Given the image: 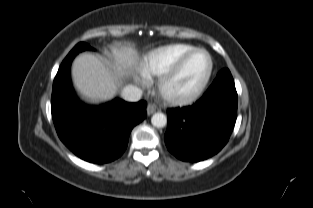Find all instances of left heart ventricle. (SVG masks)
<instances>
[{"label": "left heart ventricle", "mask_w": 313, "mask_h": 208, "mask_svg": "<svg viewBox=\"0 0 313 208\" xmlns=\"http://www.w3.org/2000/svg\"><path fill=\"white\" fill-rule=\"evenodd\" d=\"M208 65L205 54L198 53L184 67L183 71L173 83V89L186 92L194 89L202 79Z\"/></svg>", "instance_id": "left-heart-ventricle-1"}]
</instances>
